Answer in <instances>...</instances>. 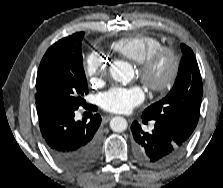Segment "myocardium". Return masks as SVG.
Listing matches in <instances>:
<instances>
[{
    "instance_id": "obj_1",
    "label": "myocardium",
    "mask_w": 223,
    "mask_h": 188,
    "mask_svg": "<svg viewBox=\"0 0 223 188\" xmlns=\"http://www.w3.org/2000/svg\"><path fill=\"white\" fill-rule=\"evenodd\" d=\"M167 57L170 70L166 77L157 78L155 69L158 63ZM180 57L171 47L161 46L138 63V74L141 82L152 92L163 93L170 90L180 73Z\"/></svg>"
}]
</instances>
